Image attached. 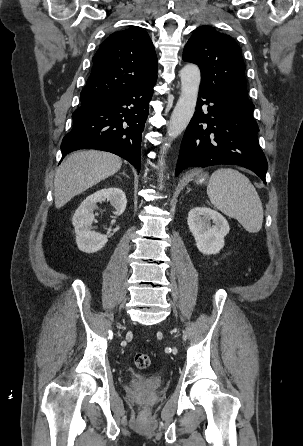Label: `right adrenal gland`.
I'll return each mask as SVG.
<instances>
[{"label":"right adrenal gland","mask_w":303,"mask_h":446,"mask_svg":"<svg viewBox=\"0 0 303 446\" xmlns=\"http://www.w3.org/2000/svg\"><path fill=\"white\" fill-rule=\"evenodd\" d=\"M124 176H126L127 178H129V176L125 173V171H123L122 173Z\"/></svg>","instance_id":"obj_1"}]
</instances>
